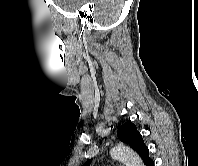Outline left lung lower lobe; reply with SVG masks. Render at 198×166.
<instances>
[{"mask_svg":"<svg viewBox=\"0 0 198 166\" xmlns=\"http://www.w3.org/2000/svg\"><path fill=\"white\" fill-rule=\"evenodd\" d=\"M144 164L146 166H154V161L149 158Z\"/></svg>","mask_w":198,"mask_h":166,"instance_id":"left-lung-lower-lobe-1","label":"left lung lower lobe"}]
</instances>
